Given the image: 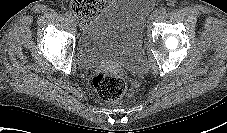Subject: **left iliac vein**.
Returning a JSON list of instances; mask_svg holds the SVG:
<instances>
[{
	"mask_svg": "<svg viewBox=\"0 0 227 133\" xmlns=\"http://www.w3.org/2000/svg\"><path fill=\"white\" fill-rule=\"evenodd\" d=\"M157 16H158L157 11H154V12L151 14V16H150V19H151V20H155V19L157 18Z\"/></svg>",
	"mask_w": 227,
	"mask_h": 133,
	"instance_id": "1",
	"label": "left iliac vein"
}]
</instances>
